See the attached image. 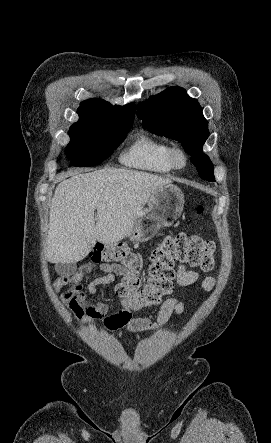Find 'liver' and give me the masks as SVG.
I'll list each match as a JSON object with an SVG mask.
<instances>
[{"instance_id": "1", "label": "liver", "mask_w": 271, "mask_h": 443, "mask_svg": "<svg viewBox=\"0 0 271 443\" xmlns=\"http://www.w3.org/2000/svg\"><path fill=\"white\" fill-rule=\"evenodd\" d=\"M65 178L50 206L46 253L54 263L80 261L96 241L124 239L154 190L172 186L154 174L109 166L89 174L68 172Z\"/></svg>"}]
</instances>
